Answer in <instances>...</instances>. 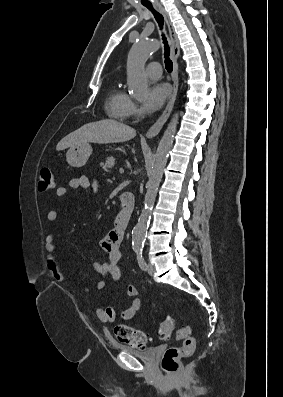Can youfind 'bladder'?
Wrapping results in <instances>:
<instances>
[{
    "mask_svg": "<svg viewBox=\"0 0 283 397\" xmlns=\"http://www.w3.org/2000/svg\"><path fill=\"white\" fill-rule=\"evenodd\" d=\"M116 347L121 351L133 354L144 360H153L158 352V348L156 346H151L147 348H136L128 345L117 344Z\"/></svg>",
    "mask_w": 283,
    "mask_h": 397,
    "instance_id": "31cf9c89",
    "label": "bladder"
}]
</instances>
